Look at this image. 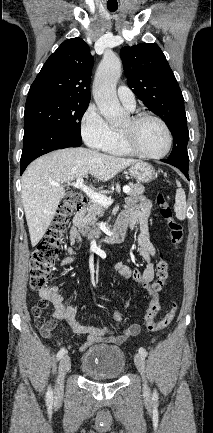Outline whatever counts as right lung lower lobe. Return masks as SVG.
Segmentation results:
<instances>
[{"label":"right lung lower lobe","mask_w":213,"mask_h":433,"mask_svg":"<svg viewBox=\"0 0 213 433\" xmlns=\"http://www.w3.org/2000/svg\"><path fill=\"white\" fill-rule=\"evenodd\" d=\"M81 141L44 124L32 123L25 126L23 151L20 160L21 174L35 158L56 149L79 147Z\"/></svg>","instance_id":"obj_1"}]
</instances>
